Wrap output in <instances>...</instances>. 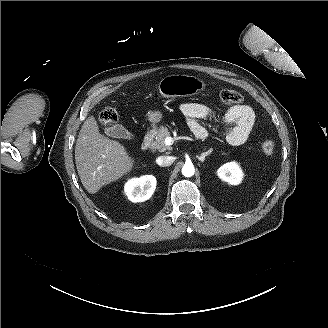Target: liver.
<instances>
[{"instance_id":"obj_1","label":"liver","mask_w":328,"mask_h":328,"mask_svg":"<svg viewBox=\"0 0 328 328\" xmlns=\"http://www.w3.org/2000/svg\"><path fill=\"white\" fill-rule=\"evenodd\" d=\"M75 161L81 183L92 195L131 173L137 163L124 144L101 134L94 115L85 120L79 132Z\"/></svg>"}]
</instances>
